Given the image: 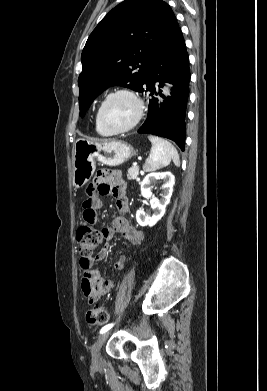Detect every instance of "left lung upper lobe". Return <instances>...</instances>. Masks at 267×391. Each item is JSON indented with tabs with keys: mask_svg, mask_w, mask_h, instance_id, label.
Masks as SVG:
<instances>
[{
	"mask_svg": "<svg viewBox=\"0 0 267 391\" xmlns=\"http://www.w3.org/2000/svg\"><path fill=\"white\" fill-rule=\"evenodd\" d=\"M179 27L162 0H125L90 34L79 75L80 116L110 86L139 91L151 58Z\"/></svg>",
	"mask_w": 267,
	"mask_h": 391,
	"instance_id": "5c2ea615",
	"label": "left lung upper lobe"
}]
</instances>
